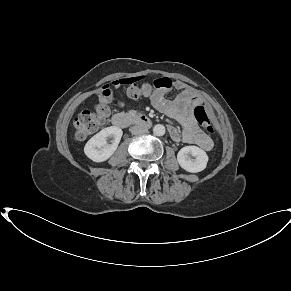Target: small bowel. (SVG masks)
Instances as JSON below:
<instances>
[{"instance_id":"c3829d8e","label":"small bowel","mask_w":291,"mask_h":291,"mask_svg":"<svg viewBox=\"0 0 291 291\" xmlns=\"http://www.w3.org/2000/svg\"><path fill=\"white\" fill-rule=\"evenodd\" d=\"M162 80H168L170 85L168 87L155 88L150 100L158 111L172 117L181 125V132L174 126L169 127L171 138L174 141H183L209 151L213 146L212 140L198 127L188 112L189 107L197 102L195 93L182 81L172 82L168 78L157 79V81ZM172 88L180 91V94L173 100L166 97ZM117 105L122 107L123 103L118 101Z\"/></svg>"}]
</instances>
